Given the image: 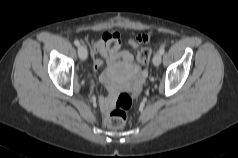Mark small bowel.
<instances>
[{"label":"small bowel","instance_id":"1","mask_svg":"<svg viewBox=\"0 0 238 158\" xmlns=\"http://www.w3.org/2000/svg\"><path fill=\"white\" fill-rule=\"evenodd\" d=\"M138 39L146 42L148 37L140 35ZM92 54L95 56L93 66L96 71H99L105 64L112 65L115 62L120 63L129 71H137L133 55L128 51L120 50V35L116 32L104 33L99 39L92 41ZM107 77L108 73L103 72L102 78L107 79ZM100 104L105 112L109 111L112 106L111 97H102Z\"/></svg>","mask_w":238,"mask_h":158}]
</instances>
